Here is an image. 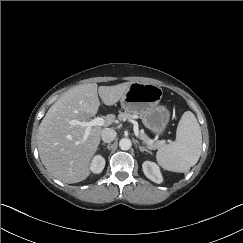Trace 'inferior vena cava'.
<instances>
[{
    "label": "inferior vena cava",
    "mask_w": 243,
    "mask_h": 243,
    "mask_svg": "<svg viewBox=\"0 0 243 243\" xmlns=\"http://www.w3.org/2000/svg\"><path fill=\"white\" fill-rule=\"evenodd\" d=\"M101 138L105 143H110L116 138V131L111 128H105L101 132Z\"/></svg>",
    "instance_id": "1"
}]
</instances>
